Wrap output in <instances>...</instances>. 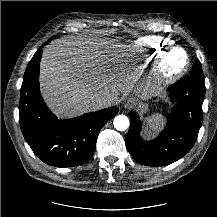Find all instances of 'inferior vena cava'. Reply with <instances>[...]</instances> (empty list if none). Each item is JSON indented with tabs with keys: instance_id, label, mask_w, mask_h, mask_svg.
I'll use <instances>...</instances> for the list:
<instances>
[{
	"instance_id": "obj_1",
	"label": "inferior vena cava",
	"mask_w": 217,
	"mask_h": 217,
	"mask_svg": "<svg viewBox=\"0 0 217 217\" xmlns=\"http://www.w3.org/2000/svg\"><path fill=\"white\" fill-rule=\"evenodd\" d=\"M87 101L91 110H99L112 105L111 99L102 96H91Z\"/></svg>"
}]
</instances>
